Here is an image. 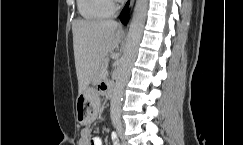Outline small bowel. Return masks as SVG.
I'll return each instance as SVG.
<instances>
[{"label": "small bowel", "instance_id": "small-bowel-1", "mask_svg": "<svg viewBox=\"0 0 243 145\" xmlns=\"http://www.w3.org/2000/svg\"><path fill=\"white\" fill-rule=\"evenodd\" d=\"M103 90H106V87H104ZM111 140L114 145H118V138L115 133L111 134ZM78 145H103V142L100 137L92 136L91 130L86 128L83 129L80 133Z\"/></svg>", "mask_w": 243, "mask_h": 145}]
</instances>
